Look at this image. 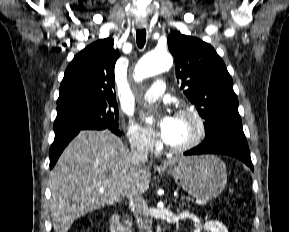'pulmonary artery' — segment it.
<instances>
[{
    "label": "pulmonary artery",
    "instance_id": "obj_1",
    "mask_svg": "<svg viewBox=\"0 0 289 232\" xmlns=\"http://www.w3.org/2000/svg\"><path fill=\"white\" fill-rule=\"evenodd\" d=\"M165 89H166L165 82L163 80H157L143 94L142 98L147 102H154L165 93Z\"/></svg>",
    "mask_w": 289,
    "mask_h": 232
}]
</instances>
